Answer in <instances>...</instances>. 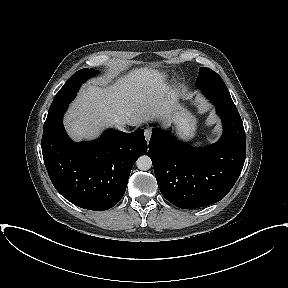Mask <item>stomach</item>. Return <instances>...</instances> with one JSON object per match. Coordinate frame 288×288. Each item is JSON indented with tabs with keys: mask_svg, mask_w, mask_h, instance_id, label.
<instances>
[{
	"mask_svg": "<svg viewBox=\"0 0 288 288\" xmlns=\"http://www.w3.org/2000/svg\"><path fill=\"white\" fill-rule=\"evenodd\" d=\"M177 97L175 90L167 89L166 101L170 107L171 121L176 124L178 133L181 136L190 138L196 130V118L183 106L176 104Z\"/></svg>",
	"mask_w": 288,
	"mask_h": 288,
	"instance_id": "0dacf381",
	"label": "stomach"
}]
</instances>
